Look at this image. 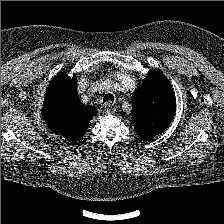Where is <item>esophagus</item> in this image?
<instances>
[{
	"label": "esophagus",
	"mask_w": 224,
	"mask_h": 224,
	"mask_svg": "<svg viewBox=\"0 0 224 224\" xmlns=\"http://www.w3.org/2000/svg\"><path fill=\"white\" fill-rule=\"evenodd\" d=\"M115 112L114 105L111 102H107L104 106V113L113 114Z\"/></svg>",
	"instance_id": "esophagus-1"
}]
</instances>
